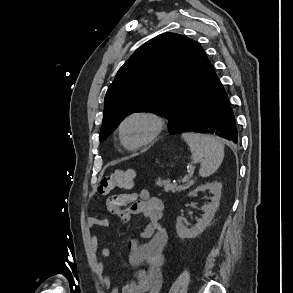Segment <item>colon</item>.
<instances>
[{
	"label": "colon",
	"instance_id": "colon-1",
	"mask_svg": "<svg viewBox=\"0 0 293 293\" xmlns=\"http://www.w3.org/2000/svg\"><path fill=\"white\" fill-rule=\"evenodd\" d=\"M135 178V172L131 169H116L106 174L99 187L100 194H107L115 189H129L132 187Z\"/></svg>",
	"mask_w": 293,
	"mask_h": 293
}]
</instances>
